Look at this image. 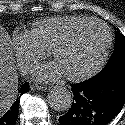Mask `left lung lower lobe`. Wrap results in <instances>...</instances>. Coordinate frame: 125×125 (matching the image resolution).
Instances as JSON below:
<instances>
[{
  "mask_svg": "<svg viewBox=\"0 0 125 125\" xmlns=\"http://www.w3.org/2000/svg\"><path fill=\"white\" fill-rule=\"evenodd\" d=\"M73 103L61 125H107L125 103V68L73 84Z\"/></svg>",
  "mask_w": 125,
  "mask_h": 125,
  "instance_id": "left-lung-lower-lobe-1",
  "label": "left lung lower lobe"
}]
</instances>
